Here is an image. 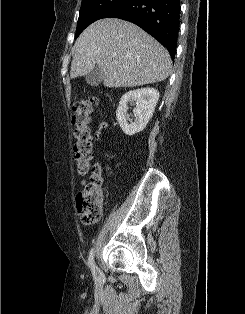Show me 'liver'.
Wrapping results in <instances>:
<instances>
[{
	"label": "liver",
	"mask_w": 245,
	"mask_h": 314,
	"mask_svg": "<svg viewBox=\"0 0 245 314\" xmlns=\"http://www.w3.org/2000/svg\"><path fill=\"white\" fill-rule=\"evenodd\" d=\"M98 67L105 87H136L164 81L172 71L168 51L137 25L116 18L88 26L74 46L70 77Z\"/></svg>",
	"instance_id": "liver-1"
}]
</instances>
